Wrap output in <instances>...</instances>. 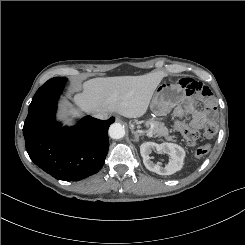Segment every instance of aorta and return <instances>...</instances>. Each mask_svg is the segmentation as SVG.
<instances>
[{
    "label": "aorta",
    "instance_id": "762f6f07",
    "mask_svg": "<svg viewBox=\"0 0 245 245\" xmlns=\"http://www.w3.org/2000/svg\"><path fill=\"white\" fill-rule=\"evenodd\" d=\"M125 135L124 126L120 123H113L109 127V136L112 139H121Z\"/></svg>",
    "mask_w": 245,
    "mask_h": 245
}]
</instances>
